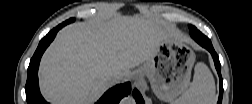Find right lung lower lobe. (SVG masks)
<instances>
[{"instance_id":"right-lung-lower-lobe-1","label":"right lung lower lobe","mask_w":252,"mask_h":104,"mask_svg":"<svg viewBox=\"0 0 252 104\" xmlns=\"http://www.w3.org/2000/svg\"><path fill=\"white\" fill-rule=\"evenodd\" d=\"M63 26V23L58 25L56 28L51 30L42 40L40 41L37 50L35 51L33 57L30 60V64L27 70V82L25 86L26 99L28 104H48L39 91L38 86V67L42 54L49 44L55 38L58 30ZM131 92V84L127 82L125 84L117 85L110 90H108L97 104H118L119 101L127 96Z\"/></svg>"}]
</instances>
